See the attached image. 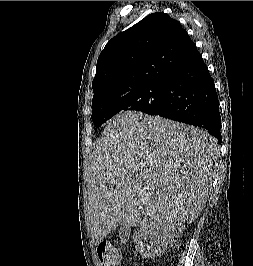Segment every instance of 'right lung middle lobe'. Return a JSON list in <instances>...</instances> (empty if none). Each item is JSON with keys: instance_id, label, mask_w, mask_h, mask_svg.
Returning a JSON list of instances; mask_svg holds the SVG:
<instances>
[{"instance_id": "dd1d6c3e", "label": "right lung middle lobe", "mask_w": 253, "mask_h": 266, "mask_svg": "<svg viewBox=\"0 0 253 266\" xmlns=\"http://www.w3.org/2000/svg\"><path fill=\"white\" fill-rule=\"evenodd\" d=\"M165 81L152 82L92 105V121L101 126L121 111L137 110L147 114L158 111L163 104Z\"/></svg>"}]
</instances>
